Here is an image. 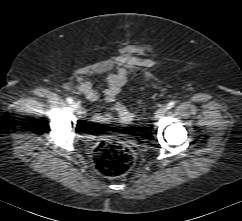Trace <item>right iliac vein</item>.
Returning a JSON list of instances; mask_svg holds the SVG:
<instances>
[{
	"mask_svg": "<svg viewBox=\"0 0 242 221\" xmlns=\"http://www.w3.org/2000/svg\"><path fill=\"white\" fill-rule=\"evenodd\" d=\"M72 106H73L74 110H75L77 113H80V104H79V103L75 102V103H73Z\"/></svg>",
	"mask_w": 242,
	"mask_h": 221,
	"instance_id": "1",
	"label": "right iliac vein"
}]
</instances>
